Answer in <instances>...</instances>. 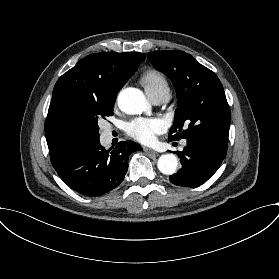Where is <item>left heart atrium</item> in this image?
<instances>
[{"instance_id": "obj_1", "label": "left heart atrium", "mask_w": 279, "mask_h": 279, "mask_svg": "<svg viewBox=\"0 0 279 279\" xmlns=\"http://www.w3.org/2000/svg\"><path fill=\"white\" fill-rule=\"evenodd\" d=\"M163 129V123L157 118H136L125 126L126 134L141 143L152 142Z\"/></svg>"}]
</instances>
